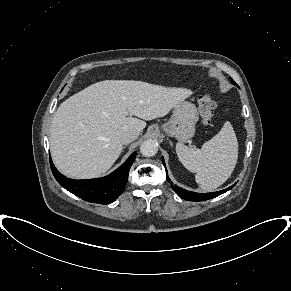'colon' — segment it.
<instances>
[{
	"instance_id": "1",
	"label": "colon",
	"mask_w": 291,
	"mask_h": 291,
	"mask_svg": "<svg viewBox=\"0 0 291 291\" xmlns=\"http://www.w3.org/2000/svg\"><path fill=\"white\" fill-rule=\"evenodd\" d=\"M215 108L216 102L210 94L204 93L199 97L198 110L201 117V122L204 125L210 124Z\"/></svg>"
}]
</instances>
